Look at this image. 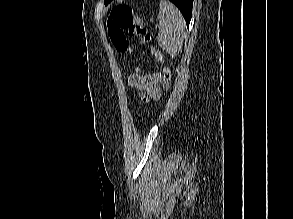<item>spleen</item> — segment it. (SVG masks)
I'll return each mask as SVG.
<instances>
[{"instance_id": "obj_1", "label": "spleen", "mask_w": 293, "mask_h": 219, "mask_svg": "<svg viewBox=\"0 0 293 219\" xmlns=\"http://www.w3.org/2000/svg\"><path fill=\"white\" fill-rule=\"evenodd\" d=\"M159 32L157 42L170 55H176L183 46L186 36V23L181 12L170 2L159 3Z\"/></svg>"}]
</instances>
